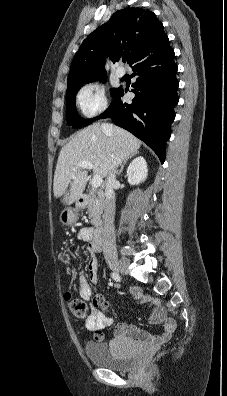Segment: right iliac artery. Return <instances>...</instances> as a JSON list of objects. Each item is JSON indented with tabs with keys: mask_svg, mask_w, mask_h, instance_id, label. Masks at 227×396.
I'll return each instance as SVG.
<instances>
[{
	"mask_svg": "<svg viewBox=\"0 0 227 396\" xmlns=\"http://www.w3.org/2000/svg\"><path fill=\"white\" fill-rule=\"evenodd\" d=\"M111 277L116 281L119 282L121 280V277L118 273L112 272Z\"/></svg>",
	"mask_w": 227,
	"mask_h": 396,
	"instance_id": "82829eb1",
	"label": "right iliac artery"
}]
</instances>
